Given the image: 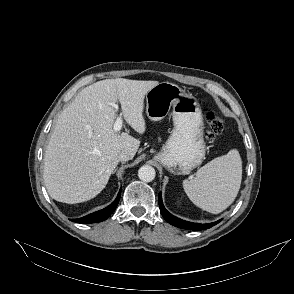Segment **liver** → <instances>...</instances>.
I'll return each mask as SVG.
<instances>
[{"mask_svg":"<svg viewBox=\"0 0 294 294\" xmlns=\"http://www.w3.org/2000/svg\"><path fill=\"white\" fill-rule=\"evenodd\" d=\"M158 81L106 79L81 90L59 115L44 157V183L56 201L75 204L97 196L107 185L121 151L136 154L140 141L114 131L117 101L126 122L139 134L146 93Z\"/></svg>","mask_w":294,"mask_h":294,"instance_id":"obj_1","label":"liver"}]
</instances>
